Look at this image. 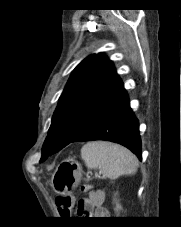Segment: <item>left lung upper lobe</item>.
<instances>
[{
    "instance_id": "obj_1",
    "label": "left lung upper lobe",
    "mask_w": 181,
    "mask_h": 227,
    "mask_svg": "<svg viewBox=\"0 0 181 227\" xmlns=\"http://www.w3.org/2000/svg\"><path fill=\"white\" fill-rule=\"evenodd\" d=\"M121 85L112 62L104 55L84 59L74 69L59 99L40 162L71 143L95 110Z\"/></svg>"
}]
</instances>
